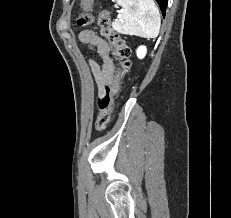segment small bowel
Segmentation results:
<instances>
[{
    "instance_id": "small-bowel-1",
    "label": "small bowel",
    "mask_w": 231,
    "mask_h": 218,
    "mask_svg": "<svg viewBox=\"0 0 231 218\" xmlns=\"http://www.w3.org/2000/svg\"><path fill=\"white\" fill-rule=\"evenodd\" d=\"M79 39L89 48L95 50L100 56L102 63L98 64L93 59L89 60V65L98 87V98L105 88L112 84L115 78L116 61L110 45L93 30H83L79 34Z\"/></svg>"
}]
</instances>
